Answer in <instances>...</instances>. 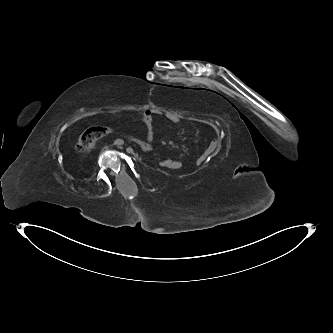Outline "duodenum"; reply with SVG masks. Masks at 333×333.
<instances>
[{"label": "duodenum", "instance_id": "1", "mask_svg": "<svg viewBox=\"0 0 333 333\" xmlns=\"http://www.w3.org/2000/svg\"><path fill=\"white\" fill-rule=\"evenodd\" d=\"M132 141L136 145H138L140 147V149L144 152H149V151L152 150V146L149 143L145 142V141H142L140 139H132Z\"/></svg>", "mask_w": 333, "mask_h": 333}]
</instances>
